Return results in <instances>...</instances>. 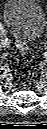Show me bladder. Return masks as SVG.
Wrapping results in <instances>:
<instances>
[{
	"label": "bladder",
	"mask_w": 47,
	"mask_h": 129,
	"mask_svg": "<svg viewBox=\"0 0 47 129\" xmlns=\"http://www.w3.org/2000/svg\"><path fill=\"white\" fill-rule=\"evenodd\" d=\"M3 21L24 47L42 36L46 24L36 0H8L3 9Z\"/></svg>",
	"instance_id": "bladder-1"
}]
</instances>
